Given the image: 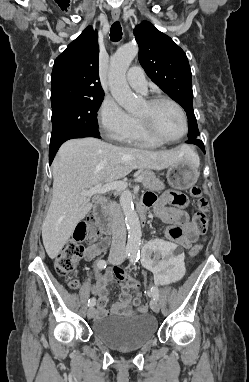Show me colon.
Returning a JSON list of instances; mask_svg holds the SVG:
<instances>
[{"mask_svg": "<svg viewBox=\"0 0 249 382\" xmlns=\"http://www.w3.org/2000/svg\"><path fill=\"white\" fill-rule=\"evenodd\" d=\"M190 195L197 199V211L194 214V223L202 234H206L209 226V202L202 197V191L194 186L190 189ZM102 237L100 227L94 215H88L81 221L74 232L73 239L68 241L61 249L55 259V270L59 275H70L76 269L78 262L84 255V248L81 242L97 243ZM202 250V244H195L189 251L191 257L197 256ZM72 288L78 287L76 280L70 281ZM134 303L140 312H145L147 307L142 303L140 294H136Z\"/></svg>", "mask_w": 249, "mask_h": 382, "instance_id": "obj_1", "label": "colon"}]
</instances>
